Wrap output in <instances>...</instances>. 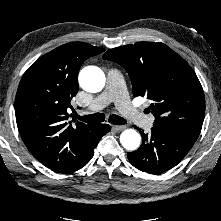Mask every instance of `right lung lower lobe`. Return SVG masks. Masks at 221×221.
I'll use <instances>...</instances> for the list:
<instances>
[{
    "label": "right lung lower lobe",
    "instance_id": "obj_1",
    "mask_svg": "<svg viewBox=\"0 0 221 221\" xmlns=\"http://www.w3.org/2000/svg\"><path fill=\"white\" fill-rule=\"evenodd\" d=\"M111 127L108 124H96L93 130L80 140L77 145L75 155L68 157L63 163L50 168L59 173H70L84 167L92 158L94 148L99 140L109 131Z\"/></svg>",
    "mask_w": 221,
    "mask_h": 221
}]
</instances>
